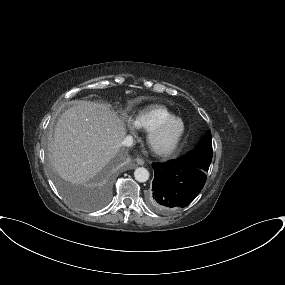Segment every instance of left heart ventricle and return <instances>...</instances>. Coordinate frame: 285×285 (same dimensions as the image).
<instances>
[{"mask_svg":"<svg viewBox=\"0 0 285 285\" xmlns=\"http://www.w3.org/2000/svg\"><path fill=\"white\" fill-rule=\"evenodd\" d=\"M181 125L178 122L172 123L160 135L157 136L155 143L159 146L165 145L170 142L177 132L180 130Z\"/></svg>","mask_w":285,"mask_h":285,"instance_id":"obj_1","label":"left heart ventricle"}]
</instances>
